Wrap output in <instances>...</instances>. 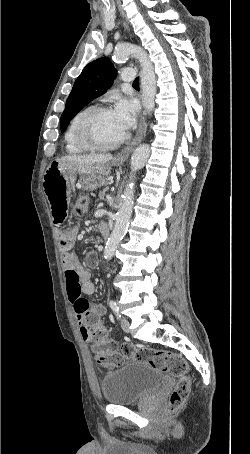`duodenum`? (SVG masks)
I'll return each instance as SVG.
<instances>
[{
	"label": "duodenum",
	"mask_w": 250,
	"mask_h": 454,
	"mask_svg": "<svg viewBox=\"0 0 250 454\" xmlns=\"http://www.w3.org/2000/svg\"><path fill=\"white\" fill-rule=\"evenodd\" d=\"M99 230L103 237L107 238L109 236V229L105 225H100Z\"/></svg>",
	"instance_id": "1"
}]
</instances>
